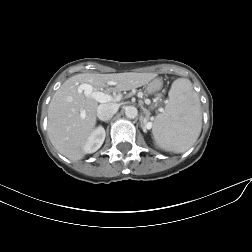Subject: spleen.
Returning <instances> with one entry per match:
<instances>
[{"mask_svg":"<svg viewBox=\"0 0 252 252\" xmlns=\"http://www.w3.org/2000/svg\"><path fill=\"white\" fill-rule=\"evenodd\" d=\"M168 96L164 111L154 121L153 137L165 151L183 153L201 133V103L191 81L186 78L176 79Z\"/></svg>","mask_w":252,"mask_h":252,"instance_id":"1","label":"spleen"}]
</instances>
